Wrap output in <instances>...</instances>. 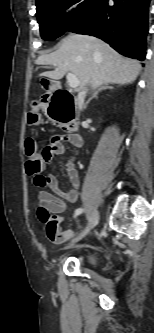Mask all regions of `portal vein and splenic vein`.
I'll list each match as a JSON object with an SVG mask.
<instances>
[{"instance_id": "1", "label": "portal vein and splenic vein", "mask_w": 154, "mask_h": 333, "mask_svg": "<svg viewBox=\"0 0 154 333\" xmlns=\"http://www.w3.org/2000/svg\"><path fill=\"white\" fill-rule=\"evenodd\" d=\"M67 81L71 88H77L80 85L79 79L72 73L67 74Z\"/></svg>"}]
</instances>
